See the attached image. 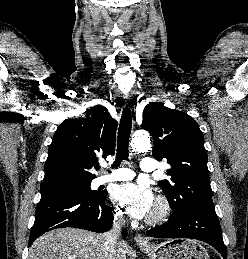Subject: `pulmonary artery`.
Listing matches in <instances>:
<instances>
[{
  "mask_svg": "<svg viewBox=\"0 0 248 259\" xmlns=\"http://www.w3.org/2000/svg\"><path fill=\"white\" fill-rule=\"evenodd\" d=\"M140 169L144 173L154 172L156 169L155 161L152 158H143L140 162ZM134 177L132 170L128 168H117L111 172V174L103 175L96 180L98 185L116 182V181H126Z\"/></svg>",
  "mask_w": 248,
  "mask_h": 259,
  "instance_id": "e3ab8cb5",
  "label": "pulmonary artery"
}]
</instances>
